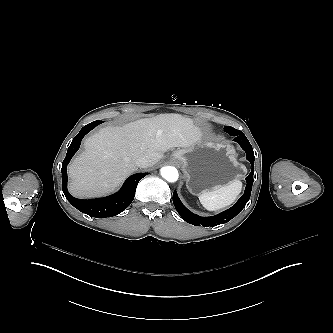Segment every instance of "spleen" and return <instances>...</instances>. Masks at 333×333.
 <instances>
[{"mask_svg": "<svg viewBox=\"0 0 333 333\" xmlns=\"http://www.w3.org/2000/svg\"><path fill=\"white\" fill-rule=\"evenodd\" d=\"M243 184L234 180L213 191H206L199 195L200 203L208 211H217L233 204L242 191Z\"/></svg>", "mask_w": 333, "mask_h": 333, "instance_id": "obj_1", "label": "spleen"}]
</instances>
